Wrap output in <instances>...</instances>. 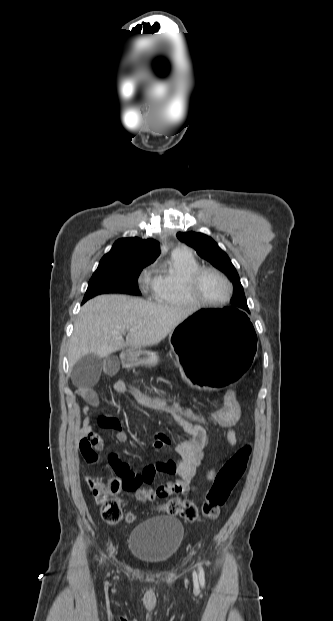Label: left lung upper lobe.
<instances>
[{
	"instance_id": "left-lung-upper-lobe-1",
	"label": "left lung upper lobe",
	"mask_w": 333,
	"mask_h": 621,
	"mask_svg": "<svg viewBox=\"0 0 333 621\" xmlns=\"http://www.w3.org/2000/svg\"><path fill=\"white\" fill-rule=\"evenodd\" d=\"M177 238L194 248L197 253L213 266L225 273L233 282L234 296L231 299V307L236 310L248 311L247 301L240 283L238 273L231 263L228 255L221 250L217 243L209 236L196 232H178Z\"/></svg>"
}]
</instances>
